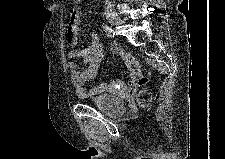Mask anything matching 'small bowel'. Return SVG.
Here are the masks:
<instances>
[{"mask_svg":"<svg viewBox=\"0 0 225 159\" xmlns=\"http://www.w3.org/2000/svg\"><path fill=\"white\" fill-rule=\"evenodd\" d=\"M79 25H80V11L76 8L71 13L68 27L66 29V41L71 47V50L68 52L69 59V72L71 75L72 84L76 87V92L79 96H83L85 91V85L87 82L95 78L99 71V63L102 57V48L99 41V36L97 33L91 35V39L88 44L82 49H77L78 44V35H79ZM111 50L114 53H119L122 49L121 46L112 42L110 44ZM76 58H81L82 62L87 65L86 68L80 70L77 63L74 62ZM147 82V79L143 81H138L137 84L131 83L126 87V90L131 92L135 90L138 86H141ZM122 88L120 82H110L99 85L95 88V91L103 92H115Z\"/></svg>","mask_w":225,"mask_h":159,"instance_id":"c3829d8e","label":"small bowel"}]
</instances>
